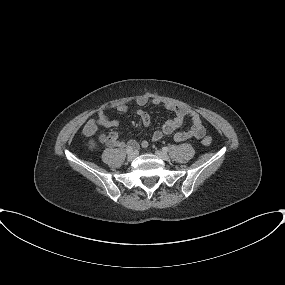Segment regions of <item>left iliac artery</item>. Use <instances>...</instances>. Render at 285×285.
Listing matches in <instances>:
<instances>
[{"mask_svg":"<svg viewBox=\"0 0 285 285\" xmlns=\"http://www.w3.org/2000/svg\"><path fill=\"white\" fill-rule=\"evenodd\" d=\"M162 150H163L164 152H168V148H167V147H163Z\"/></svg>","mask_w":285,"mask_h":285,"instance_id":"44dca946","label":"left iliac artery"}]
</instances>
